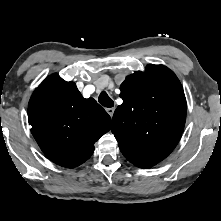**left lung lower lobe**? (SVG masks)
Segmentation results:
<instances>
[{
  "mask_svg": "<svg viewBox=\"0 0 221 221\" xmlns=\"http://www.w3.org/2000/svg\"><path fill=\"white\" fill-rule=\"evenodd\" d=\"M131 163H133L134 165L140 167V168H149V167H152L153 165L150 164V163H145V162H142V161H139L135 158H131L128 156L127 158Z\"/></svg>",
  "mask_w": 221,
  "mask_h": 221,
  "instance_id": "obj_1",
  "label": "left lung lower lobe"
}]
</instances>
